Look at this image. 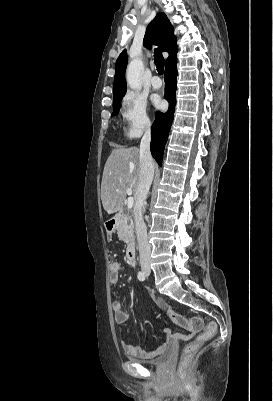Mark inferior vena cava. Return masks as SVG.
I'll list each match as a JSON object with an SVG mask.
<instances>
[{
	"instance_id": "obj_1",
	"label": "inferior vena cava",
	"mask_w": 273,
	"mask_h": 401,
	"mask_svg": "<svg viewBox=\"0 0 273 401\" xmlns=\"http://www.w3.org/2000/svg\"><path fill=\"white\" fill-rule=\"evenodd\" d=\"M151 130L147 128L140 142V174L136 190L134 211L135 229L139 247L140 261L150 259L151 249L147 239V227L143 219V207L154 176V162L150 152Z\"/></svg>"
}]
</instances>
